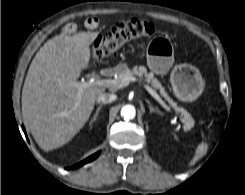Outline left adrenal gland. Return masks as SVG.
<instances>
[{"label":"left adrenal gland","instance_id":"1","mask_svg":"<svg viewBox=\"0 0 245 195\" xmlns=\"http://www.w3.org/2000/svg\"><path fill=\"white\" fill-rule=\"evenodd\" d=\"M148 107L150 109V113L155 112V113L161 114V112L157 108H155L151 103H149Z\"/></svg>","mask_w":245,"mask_h":195}]
</instances>
